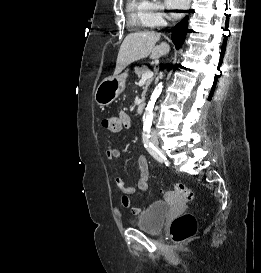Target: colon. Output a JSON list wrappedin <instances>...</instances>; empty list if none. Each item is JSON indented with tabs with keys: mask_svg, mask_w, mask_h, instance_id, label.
I'll use <instances>...</instances> for the list:
<instances>
[{
	"mask_svg": "<svg viewBox=\"0 0 261 273\" xmlns=\"http://www.w3.org/2000/svg\"><path fill=\"white\" fill-rule=\"evenodd\" d=\"M103 126L110 131L121 129V121L117 116H109L103 120ZM173 192L183 201L191 203L194 200L193 191L184 184H176ZM197 222L192 214L186 213L177 217L171 224L170 235L175 242H185L195 236Z\"/></svg>",
	"mask_w": 261,
	"mask_h": 273,
	"instance_id": "obj_1",
	"label": "colon"
}]
</instances>
